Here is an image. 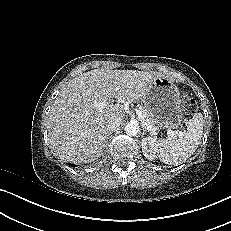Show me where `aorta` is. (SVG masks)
I'll list each match as a JSON object with an SVG mask.
<instances>
[{
  "mask_svg": "<svg viewBox=\"0 0 231 231\" xmlns=\"http://www.w3.org/2000/svg\"><path fill=\"white\" fill-rule=\"evenodd\" d=\"M139 132V125L136 122H129L125 126V133L128 136H136Z\"/></svg>",
  "mask_w": 231,
  "mask_h": 231,
  "instance_id": "1",
  "label": "aorta"
}]
</instances>
